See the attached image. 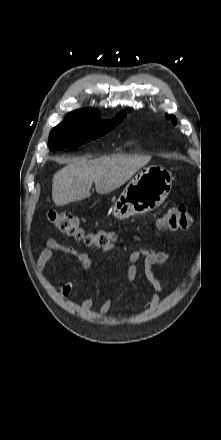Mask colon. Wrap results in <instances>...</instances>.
Segmentation results:
<instances>
[{"label": "colon", "instance_id": "1", "mask_svg": "<svg viewBox=\"0 0 221 440\" xmlns=\"http://www.w3.org/2000/svg\"><path fill=\"white\" fill-rule=\"evenodd\" d=\"M48 218L58 231L83 241L90 247L104 249L117 238L116 234L110 230H87L82 222L69 212L52 210L48 213ZM192 222L193 218L187 208L178 205L166 210L159 220L158 227L166 231L176 232L188 228Z\"/></svg>", "mask_w": 221, "mask_h": 440}]
</instances>
